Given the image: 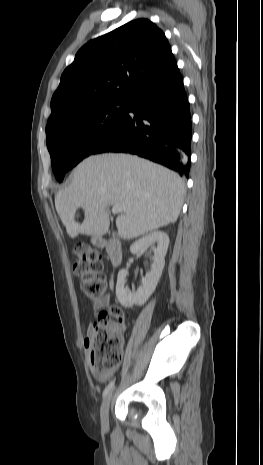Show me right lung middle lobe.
<instances>
[{
	"instance_id": "1",
	"label": "right lung middle lobe",
	"mask_w": 263,
	"mask_h": 465,
	"mask_svg": "<svg viewBox=\"0 0 263 465\" xmlns=\"http://www.w3.org/2000/svg\"><path fill=\"white\" fill-rule=\"evenodd\" d=\"M129 99H107L75 108L47 123V148L56 179L95 149L113 132L127 112Z\"/></svg>"
}]
</instances>
